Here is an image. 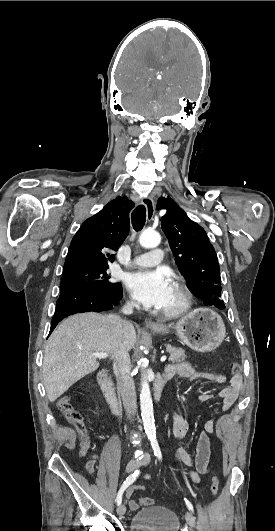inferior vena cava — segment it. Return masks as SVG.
Returning a JSON list of instances; mask_svg holds the SVG:
<instances>
[{
  "instance_id": "1",
  "label": "inferior vena cava",
  "mask_w": 275,
  "mask_h": 531,
  "mask_svg": "<svg viewBox=\"0 0 275 531\" xmlns=\"http://www.w3.org/2000/svg\"><path fill=\"white\" fill-rule=\"evenodd\" d=\"M134 303L129 301L122 309L123 315H132ZM108 323H112L117 333H121L123 327V319L118 315H109L107 317ZM113 369L117 377L118 391L122 397L124 409L130 419L131 415L137 413V399L135 391V383L130 375L131 363L129 351L123 347L121 341L116 337V345L113 357Z\"/></svg>"
}]
</instances>
